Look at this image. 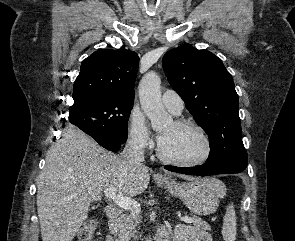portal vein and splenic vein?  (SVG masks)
<instances>
[{"label": "portal vein and splenic vein", "mask_w": 295, "mask_h": 241, "mask_svg": "<svg viewBox=\"0 0 295 241\" xmlns=\"http://www.w3.org/2000/svg\"><path fill=\"white\" fill-rule=\"evenodd\" d=\"M104 193L107 198L111 199L120 208L129 210L133 213H140L141 212V206L137 201L131 199L130 197H124V196L117 194V190L115 188H111V187L106 188L104 190ZM180 219H181V221H183L185 223H193L192 218H190L188 216H184Z\"/></svg>", "instance_id": "obj_1"}]
</instances>
